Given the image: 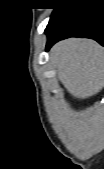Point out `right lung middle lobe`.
<instances>
[{"label": "right lung middle lobe", "mask_w": 104, "mask_h": 169, "mask_svg": "<svg viewBox=\"0 0 104 169\" xmlns=\"http://www.w3.org/2000/svg\"><path fill=\"white\" fill-rule=\"evenodd\" d=\"M69 3V0H64L63 3H59L56 5V7L54 8V11L51 15V18L50 20L63 8L64 5L68 4Z\"/></svg>", "instance_id": "1"}]
</instances>
